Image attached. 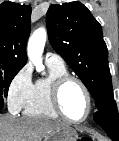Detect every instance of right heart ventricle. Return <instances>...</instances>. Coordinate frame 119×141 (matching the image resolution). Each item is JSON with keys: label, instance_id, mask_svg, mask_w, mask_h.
<instances>
[{"label": "right heart ventricle", "instance_id": "obj_1", "mask_svg": "<svg viewBox=\"0 0 119 141\" xmlns=\"http://www.w3.org/2000/svg\"><path fill=\"white\" fill-rule=\"evenodd\" d=\"M46 63L49 74L44 78H39L33 84L32 91L24 107V115L34 118L58 119V115L52 107L50 89L56 78L69 73L65 64Z\"/></svg>", "mask_w": 119, "mask_h": 141}]
</instances>
